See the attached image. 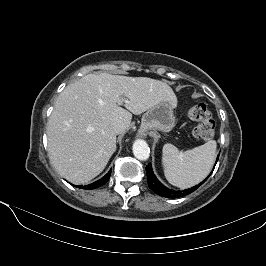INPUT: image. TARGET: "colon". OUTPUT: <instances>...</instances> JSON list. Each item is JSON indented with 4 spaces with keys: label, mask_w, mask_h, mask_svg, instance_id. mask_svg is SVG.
<instances>
[{
    "label": "colon",
    "mask_w": 266,
    "mask_h": 266,
    "mask_svg": "<svg viewBox=\"0 0 266 266\" xmlns=\"http://www.w3.org/2000/svg\"><path fill=\"white\" fill-rule=\"evenodd\" d=\"M188 116L197 124L194 128V136L200 140L208 141L215 135V123L208 106L204 103L196 104L189 108Z\"/></svg>",
    "instance_id": "obj_1"
}]
</instances>
